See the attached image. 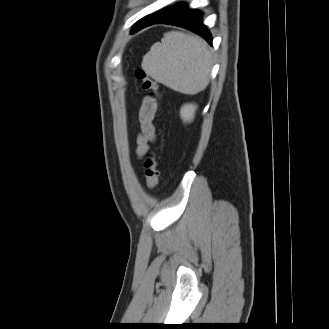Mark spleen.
Listing matches in <instances>:
<instances>
[{
  "instance_id": "spleen-1",
  "label": "spleen",
  "mask_w": 329,
  "mask_h": 329,
  "mask_svg": "<svg viewBox=\"0 0 329 329\" xmlns=\"http://www.w3.org/2000/svg\"><path fill=\"white\" fill-rule=\"evenodd\" d=\"M142 68L166 87L193 95L209 83L212 53L201 39L171 31L143 57Z\"/></svg>"
}]
</instances>
